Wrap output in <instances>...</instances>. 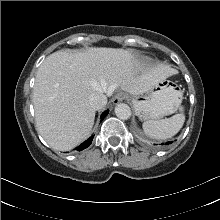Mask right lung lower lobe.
Wrapping results in <instances>:
<instances>
[{
	"label": "right lung lower lobe",
	"instance_id": "obj_1",
	"mask_svg": "<svg viewBox=\"0 0 220 220\" xmlns=\"http://www.w3.org/2000/svg\"><path fill=\"white\" fill-rule=\"evenodd\" d=\"M107 114H108V110L105 111V112L102 114L101 118H104ZM92 139H93V136H92L91 138L87 139V140H86L85 142H83L82 144H80V145L76 148V150L82 151V150H84L85 148L89 147V145L92 143Z\"/></svg>",
	"mask_w": 220,
	"mask_h": 220
}]
</instances>
